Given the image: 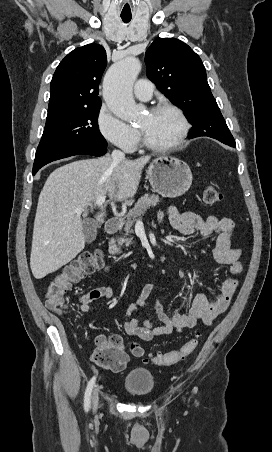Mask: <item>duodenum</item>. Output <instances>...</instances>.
<instances>
[{
  "label": "duodenum",
  "instance_id": "1",
  "mask_svg": "<svg viewBox=\"0 0 272 452\" xmlns=\"http://www.w3.org/2000/svg\"><path fill=\"white\" fill-rule=\"evenodd\" d=\"M119 228H120L119 218H111L106 222V230H107L108 234H110V235L116 234L118 232ZM109 252L113 256H116V257L121 256L122 252L114 237H112L109 242Z\"/></svg>",
  "mask_w": 272,
  "mask_h": 452
}]
</instances>
